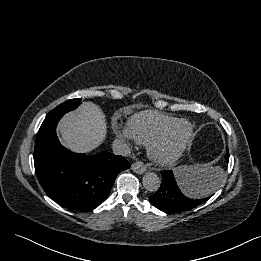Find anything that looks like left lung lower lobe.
Instances as JSON below:
<instances>
[{"label":"left lung lower lobe","mask_w":261,"mask_h":261,"mask_svg":"<svg viewBox=\"0 0 261 261\" xmlns=\"http://www.w3.org/2000/svg\"><path fill=\"white\" fill-rule=\"evenodd\" d=\"M225 159H229L228 148ZM161 174L160 188L149 197L150 202L161 211L166 213L184 212L199 206L211 197H193V195H197L199 184L190 177L182 180L171 170H163ZM209 187H211L210 184Z\"/></svg>","instance_id":"obj_1"}]
</instances>
